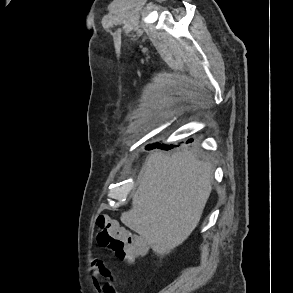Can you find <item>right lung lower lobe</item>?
<instances>
[{
	"instance_id": "right-lung-lower-lobe-1",
	"label": "right lung lower lobe",
	"mask_w": 293,
	"mask_h": 293,
	"mask_svg": "<svg viewBox=\"0 0 293 293\" xmlns=\"http://www.w3.org/2000/svg\"><path fill=\"white\" fill-rule=\"evenodd\" d=\"M159 147L162 148V149H170V148L172 147V145L167 146V145H160V144H158V143H155V144H153V145H148V146L146 147V149L151 150V149L159 148Z\"/></svg>"
}]
</instances>
